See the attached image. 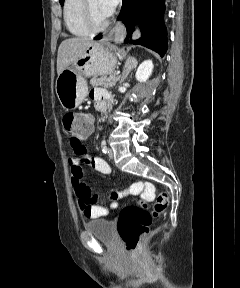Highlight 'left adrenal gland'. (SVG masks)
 Here are the masks:
<instances>
[{"label":"left adrenal gland","instance_id":"obj_1","mask_svg":"<svg viewBox=\"0 0 240 288\" xmlns=\"http://www.w3.org/2000/svg\"><path fill=\"white\" fill-rule=\"evenodd\" d=\"M137 63H138L137 60L133 57L126 60L124 67H123V72H122L120 83H122L128 77L131 70L137 66Z\"/></svg>","mask_w":240,"mask_h":288}]
</instances>
